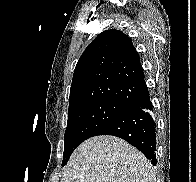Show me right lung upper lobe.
Segmentation results:
<instances>
[{
    "mask_svg": "<svg viewBox=\"0 0 196 182\" xmlns=\"http://www.w3.org/2000/svg\"><path fill=\"white\" fill-rule=\"evenodd\" d=\"M146 89L131 39L122 31L106 30L88 45L76 65L69 110L97 100L133 105Z\"/></svg>",
    "mask_w": 196,
    "mask_h": 182,
    "instance_id": "right-lung-upper-lobe-1",
    "label": "right lung upper lobe"
}]
</instances>
